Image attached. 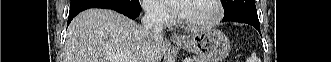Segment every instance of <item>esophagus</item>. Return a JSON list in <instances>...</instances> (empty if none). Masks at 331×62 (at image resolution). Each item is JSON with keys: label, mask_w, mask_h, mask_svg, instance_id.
<instances>
[{"label": "esophagus", "mask_w": 331, "mask_h": 62, "mask_svg": "<svg viewBox=\"0 0 331 62\" xmlns=\"http://www.w3.org/2000/svg\"><path fill=\"white\" fill-rule=\"evenodd\" d=\"M171 40H172L173 42H181V41L184 40V38H183L180 34H178V33H176V32H173V33L171 34Z\"/></svg>", "instance_id": "34e87169"}]
</instances>
